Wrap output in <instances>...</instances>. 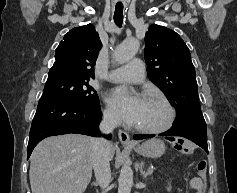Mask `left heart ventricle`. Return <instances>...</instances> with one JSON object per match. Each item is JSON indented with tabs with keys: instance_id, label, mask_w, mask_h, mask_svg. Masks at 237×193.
Masks as SVG:
<instances>
[{
	"instance_id": "left-heart-ventricle-1",
	"label": "left heart ventricle",
	"mask_w": 237,
	"mask_h": 193,
	"mask_svg": "<svg viewBox=\"0 0 237 193\" xmlns=\"http://www.w3.org/2000/svg\"><path fill=\"white\" fill-rule=\"evenodd\" d=\"M166 109L157 101L146 100L135 123L142 127H158L165 123Z\"/></svg>"
}]
</instances>
